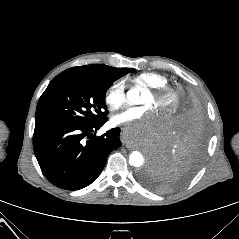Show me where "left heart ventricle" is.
<instances>
[{"label":"left heart ventricle","instance_id":"left-heart-ventricle-1","mask_svg":"<svg viewBox=\"0 0 239 239\" xmlns=\"http://www.w3.org/2000/svg\"><path fill=\"white\" fill-rule=\"evenodd\" d=\"M142 103L146 106H150L152 109L159 111L158 106L152 97V95L149 92H146L143 99Z\"/></svg>","mask_w":239,"mask_h":239}]
</instances>
